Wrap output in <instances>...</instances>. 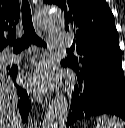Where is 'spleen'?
I'll list each match as a JSON object with an SVG mask.
<instances>
[{
  "mask_svg": "<svg viewBox=\"0 0 125 128\" xmlns=\"http://www.w3.org/2000/svg\"><path fill=\"white\" fill-rule=\"evenodd\" d=\"M96 128H125V122L116 117L102 115L97 119Z\"/></svg>",
  "mask_w": 125,
  "mask_h": 128,
  "instance_id": "3e777b00",
  "label": "spleen"
}]
</instances>
